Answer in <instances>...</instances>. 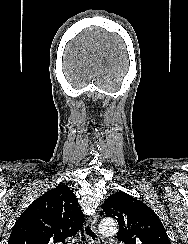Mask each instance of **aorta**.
I'll return each mask as SVG.
<instances>
[{
    "label": "aorta",
    "mask_w": 188,
    "mask_h": 244,
    "mask_svg": "<svg viewBox=\"0 0 188 244\" xmlns=\"http://www.w3.org/2000/svg\"><path fill=\"white\" fill-rule=\"evenodd\" d=\"M98 230L102 236H111L117 233L118 226L114 219L106 218L100 222Z\"/></svg>",
    "instance_id": "aorta-1"
}]
</instances>
